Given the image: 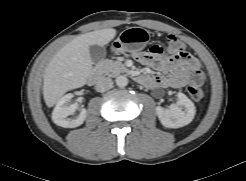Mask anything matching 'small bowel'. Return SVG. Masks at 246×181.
<instances>
[{
	"label": "small bowel",
	"mask_w": 246,
	"mask_h": 181,
	"mask_svg": "<svg viewBox=\"0 0 246 181\" xmlns=\"http://www.w3.org/2000/svg\"><path fill=\"white\" fill-rule=\"evenodd\" d=\"M161 47V45H157ZM165 53L137 52L134 58L142 65L150 66L160 72L167 73V76L146 75L145 86L149 88H182L188 84H193V68L199 63L197 59L188 52L182 51L170 56H164Z\"/></svg>",
	"instance_id": "c3829d8e"
}]
</instances>
